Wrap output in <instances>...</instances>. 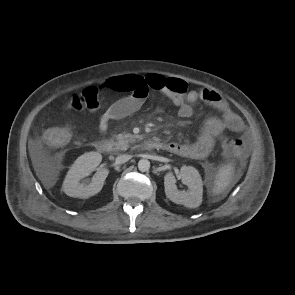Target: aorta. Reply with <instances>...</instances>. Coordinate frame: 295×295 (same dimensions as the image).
I'll return each mask as SVG.
<instances>
[{
	"instance_id": "aorta-1",
	"label": "aorta",
	"mask_w": 295,
	"mask_h": 295,
	"mask_svg": "<svg viewBox=\"0 0 295 295\" xmlns=\"http://www.w3.org/2000/svg\"><path fill=\"white\" fill-rule=\"evenodd\" d=\"M138 169L141 172H147L150 169V162H149V160H147V159H141L138 162Z\"/></svg>"
}]
</instances>
